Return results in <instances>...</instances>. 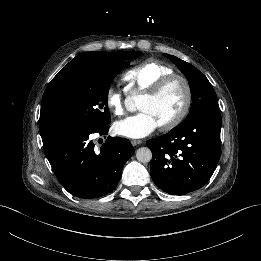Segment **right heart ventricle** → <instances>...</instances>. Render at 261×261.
Instances as JSON below:
<instances>
[{"mask_svg": "<svg viewBox=\"0 0 261 261\" xmlns=\"http://www.w3.org/2000/svg\"><path fill=\"white\" fill-rule=\"evenodd\" d=\"M173 73L174 70L167 63L157 59H147L124 73L125 91L128 94L148 93L160 79Z\"/></svg>", "mask_w": 261, "mask_h": 261, "instance_id": "e07e8e85", "label": "right heart ventricle"}]
</instances>
